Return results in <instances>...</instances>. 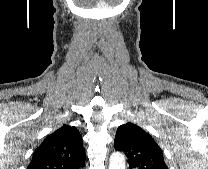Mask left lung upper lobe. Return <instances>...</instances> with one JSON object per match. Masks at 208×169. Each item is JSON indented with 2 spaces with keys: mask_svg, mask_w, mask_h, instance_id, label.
<instances>
[{
  "mask_svg": "<svg viewBox=\"0 0 208 169\" xmlns=\"http://www.w3.org/2000/svg\"><path fill=\"white\" fill-rule=\"evenodd\" d=\"M114 147L126 154L130 169H167L161 148L148 133L133 123L118 127Z\"/></svg>",
  "mask_w": 208,
  "mask_h": 169,
  "instance_id": "5c2ea615",
  "label": "left lung upper lobe"
}]
</instances>
